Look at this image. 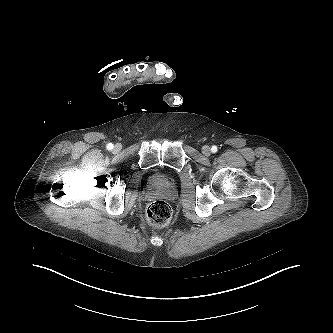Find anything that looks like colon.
I'll list each match as a JSON object with an SVG mask.
<instances>
[{
    "label": "colon",
    "mask_w": 333,
    "mask_h": 333,
    "mask_svg": "<svg viewBox=\"0 0 333 333\" xmlns=\"http://www.w3.org/2000/svg\"><path fill=\"white\" fill-rule=\"evenodd\" d=\"M172 215V207L163 200L151 202L146 209L147 221L154 227H164L168 225Z\"/></svg>",
    "instance_id": "5ec220e1"
}]
</instances>
